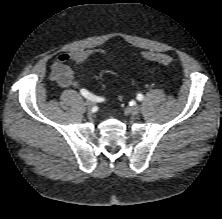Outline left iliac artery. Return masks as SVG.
Masks as SVG:
<instances>
[{"mask_svg": "<svg viewBox=\"0 0 222 219\" xmlns=\"http://www.w3.org/2000/svg\"><path fill=\"white\" fill-rule=\"evenodd\" d=\"M137 99L139 100V101H142L143 99H144V96H143V94H138L137 95Z\"/></svg>", "mask_w": 222, "mask_h": 219, "instance_id": "44dca946", "label": "left iliac artery"}]
</instances>
